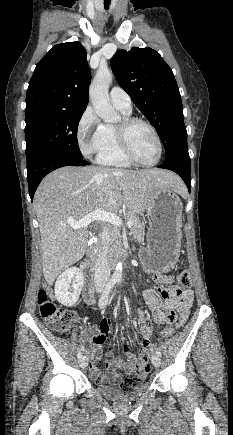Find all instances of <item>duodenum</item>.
I'll use <instances>...</instances> for the list:
<instances>
[{"mask_svg":"<svg viewBox=\"0 0 233 435\" xmlns=\"http://www.w3.org/2000/svg\"><path fill=\"white\" fill-rule=\"evenodd\" d=\"M96 249H97V246L95 245V244H93V245H91L90 246V252H95L96 251ZM82 269L89 275V276H93V273H94V269H93V266H92V264H91V262L90 261H87V262H85V263H83L82 264ZM84 301L86 302V303H92L93 301H94V298L91 296V295H89L88 293L87 294H85L84 295Z\"/></svg>","mask_w":233,"mask_h":435,"instance_id":"1","label":"duodenum"}]
</instances>
